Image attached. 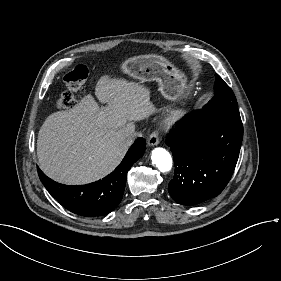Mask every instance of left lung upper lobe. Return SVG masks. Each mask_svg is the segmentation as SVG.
Listing matches in <instances>:
<instances>
[{"mask_svg": "<svg viewBox=\"0 0 281 281\" xmlns=\"http://www.w3.org/2000/svg\"><path fill=\"white\" fill-rule=\"evenodd\" d=\"M214 93V97L203 108L238 107L233 91L218 74H216Z\"/></svg>", "mask_w": 281, "mask_h": 281, "instance_id": "5c2ea615", "label": "left lung upper lobe"}]
</instances>
